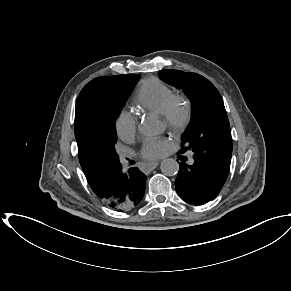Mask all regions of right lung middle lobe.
<instances>
[{"mask_svg":"<svg viewBox=\"0 0 291 291\" xmlns=\"http://www.w3.org/2000/svg\"><path fill=\"white\" fill-rule=\"evenodd\" d=\"M138 79L139 74L95 78L85 85L76 102L86 113L91 143L114 163L118 162L115 121Z\"/></svg>","mask_w":291,"mask_h":291,"instance_id":"obj_1","label":"right lung middle lobe"}]
</instances>
